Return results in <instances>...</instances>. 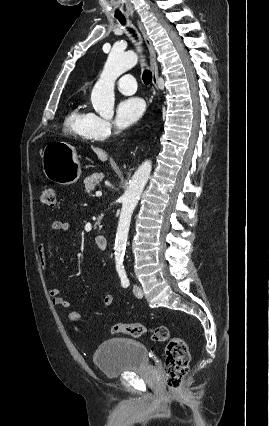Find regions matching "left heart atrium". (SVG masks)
Masks as SVG:
<instances>
[{
	"instance_id": "39dd6f15",
	"label": "left heart atrium",
	"mask_w": 269,
	"mask_h": 426,
	"mask_svg": "<svg viewBox=\"0 0 269 426\" xmlns=\"http://www.w3.org/2000/svg\"><path fill=\"white\" fill-rule=\"evenodd\" d=\"M145 103L138 97L123 99L116 108L115 123L121 128L135 124L143 115Z\"/></svg>"
}]
</instances>
